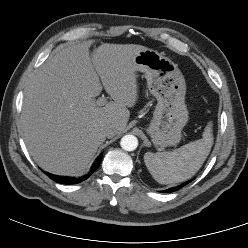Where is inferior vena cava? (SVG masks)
I'll list each match as a JSON object with an SVG mask.
<instances>
[{
    "mask_svg": "<svg viewBox=\"0 0 248 248\" xmlns=\"http://www.w3.org/2000/svg\"><path fill=\"white\" fill-rule=\"evenodd\" d=\"M104 134L107 138H112L117 134V128L114 125L105 126Z\"/></svg>",
    "mask_w": 248,
    "mask_h": 248,
    "instance_id": "602c4592",
    "label": "inferior vena cava"
}]
</instances>
